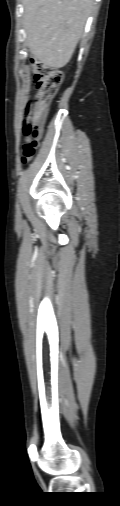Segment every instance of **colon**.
Segmentation results:
<instances>
[{
    "label": "colon",
    "instance_id": "colon-1",
    "mask_svg": "<svg viewBox=\"0 0 120 506\" xmlns=\"http://www.w3.org/2000/svg\"><path fill=\"white\" fill-rule=\"evenodd\" d=\"M27 63L34 62L29 50L22 52ZM34 74L37 83L35 95L28 101L23 120V132L26 143L23 147L22 162L26 164L36 153L42 136L47 107L57 93L62 81V73L43 64H34Z\"/></svg>",
    "mask_w": 120,
    "mask_h": 506
}]
</instances>
